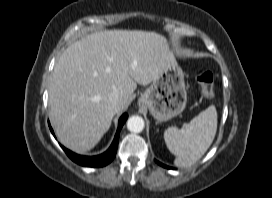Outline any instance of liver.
<instances>
[{"instance_id":"liver-1","label":"liver","mask_w":272,"mask_h":198,"mask_svg":"<svg viewBox=\"0 0 272 198\" xmlns=\"http://www.w3.org/2000/svg\"><path fill=\"white\" fill-rule=\"evenodd\" d=\"M167 39L142 30H103L71 44L59 57L49 86L50 120L68 149L91 150L127 108L137 84L148 85L175 63ZM114 90L117 104L109 100Z\"/></svg>"}]
</instances>
